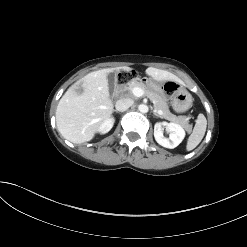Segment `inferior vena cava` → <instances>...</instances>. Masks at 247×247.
Wrapping results in <instances>:
<instances>
[{
  "instance_id": "602c4592",
  "label": "inferior vena cava",
  "mask_w": 247,
  "mask_h": 247,
  "mask_svg": "<svg viewBox=\"0 0 247 247\" xmlns=\"http://www.w3.org/2000/svg\"><path fill=\"white\" fill-rule=\"evenodd\" d=\"M133 100L130 98H121L117 100L115 107L117 111H126L130 106H132Z\"/></svg>"
}]
</instances>
